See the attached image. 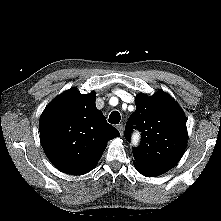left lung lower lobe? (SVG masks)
I'll return each instance as SVG.
<instances>
[{"instance_id":"1","label":"left lung lower lobe","mask_w":221,"mask_h":221,"mask_svg":"<svg viewBox=\"0 0 221 221\" xmlns=\"http://www.w3.org/2000/svg\"><path fill=\"white\" fill-rule=\"evenodd\" d=\"M136 169H137V171H139L142 175H144L146 177H154V176L159 175L157 173H153V172H150V171L143 170L139 167H136Z\"/></svg>"}]
</instances>
